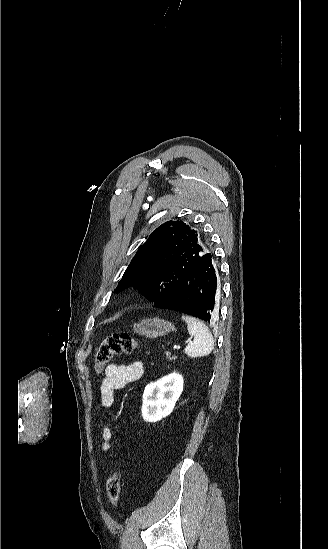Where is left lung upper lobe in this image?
<instances>
[{
  "mask_svg": "<svg viewBox=\"0 0 328 549\" xmlns=\"http://www.w3.org/2000/svg\"><path fill=\"white\" fill-rule=\"evenodd\" d=\"M203 252L197 231L170 220L156 228L140 247L114 292L133 285L153 303L163 300Z\"/></svg>",
  "mask_w": 328,
  "mask_h": 549,
  "instance_id": "left-lung-upper-lobe-1",
  "label": "left lung upper lobe"
}]
</instances>
